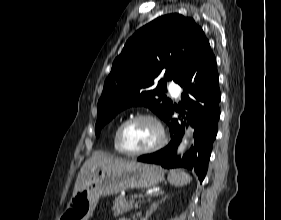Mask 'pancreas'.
<instances>
[{
    "label": "pancreas",
    "mask_w": 281,
    "mask_h": 220,
    "mask_svg": "<svg viewBox=\"0 0 281 220\" xmlns=\"http://www.w3.org/2000/svg\"><path fill=\"white\" fill-rule=\"evenodd\" d=\"M133 208L138 209L139 203L128 200L122 195H118L114 200L112 210L114 212V215H120L131 211Z\"/></svg>",
    "instance_id": "cf45deb5"
}]
</instances>
